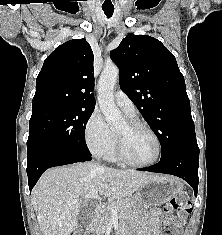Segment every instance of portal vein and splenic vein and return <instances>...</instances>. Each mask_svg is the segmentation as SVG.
<instances>
[{
	"instance_id": "obj_1",
	"label": "portal vein and splenic vein",
	"mask_w": 222,
	"mask_h": 235,
	"mask_svg": "<svg viewBox=\"0 0 222 235\" xmlns=\"http://www.w3.org/2000/svg\"><path fill=\"white\" fill-rule=\"evenodd\" d=\"M85 199H96V200H100V196L98 195V191L97 190H93L91 191L89 194L84 196ZM111 214L112 217H117L118 212H117V208H112L111 209Z\"/></svg>"
}]
</instances>
